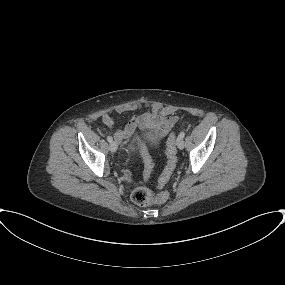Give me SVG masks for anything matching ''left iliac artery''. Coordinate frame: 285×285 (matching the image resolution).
<instances>
[{
    "instance_id": "1",
    "label": "left iliac artery",
    "mask_w": 285,
    "mask_h": 285,
    "mask_svg": "<svg viewBox=\"0 0 285 285\" xmlns=\"http://www.w3.org/2000/svg\"><path fill=\"white\" fill-rule=\"evenodd\" d=\"M179 136L184 138L185 137V133L182 131V132H180Z\"/></svg>"
}]
</instances>
